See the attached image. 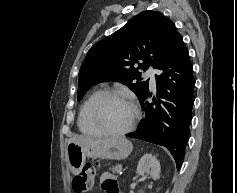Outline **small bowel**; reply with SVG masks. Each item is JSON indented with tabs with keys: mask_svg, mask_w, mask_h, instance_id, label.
<instances>
[{
	"mask_svg": "<svg viewBox=\"0 0 237 193\" xmlns=\"http://www.w3.org/2000/svg\"><path fill=\"white\" fill-rule=\"evenodd\" d=\"M101 186L105 193H119L115 176L109 172L101 175Z\"/></svg>",
	"mask_w": 237,
	"mask_h": 193,
	"instance_id": "obj_1",
	"label": "small bowel"
}]
</instances>
